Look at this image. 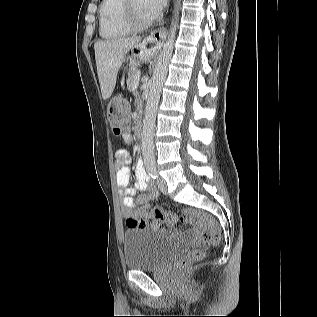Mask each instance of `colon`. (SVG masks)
Returning <instances> with one entry per match:
<instances>
[{
  "instance_id": "obj_1",
  "label": "colon",
  "mask_w": 317,
  "mask_h": 317,
  "mask_svg": "<svg viewBox=\"0 0 317 317\" xmlns=\"http://www.w3.org/2000/svg\"><path fill=\"white\" fill-rule=\"evenodd\" d=\"M107 115L113 132L121 134L128 125L130 116L128 101L122 94H116L111 98L108 103ZM152 214L157 222L174 223L177 221V217L174 214L158 208ZM180 220L182 222L197 220L203 222L207 227L197 244L177 262L176 268L178 270H185L203 259L206 250L220 241L221 233L216 221L201 211H185ZM145 225L146 223L142 219L134 217L127 219V226L130 228H142Z\"/></svg>"
}]
</instances>
